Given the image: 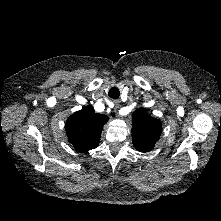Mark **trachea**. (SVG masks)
Here are the masks:
<instances>
[{"label": "trachea", "mask_w": 221, "mask_h": 221, "mask_svg": "<svg viewBox=\"0 0 221 221\" xmlns=\"http://www.w3.org/2000/svg\"><path fill=\"white\" fill-rule=\"evenodd\" d=\"M108 96L113 99L119 98V96H120L119 89L116 87H112L108 92Z\"/></svg>", "instance_id": "1"}]
</instances>
